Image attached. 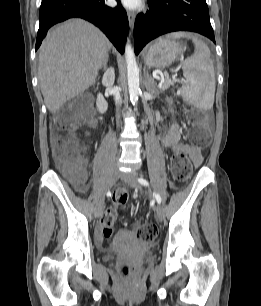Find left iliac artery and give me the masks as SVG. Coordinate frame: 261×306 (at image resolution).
Listing matches in <instances>:
<instances>
[{"instance_id":"obj_1","label":"left iliac artery","mask_w":261,"mask_h":306,"mask_svg":"<svg viewBox=\"0 0 261 306\" xmlns=\"http://www.w3.org/2000/svg\"><path fill=\"white\" fill-rule=\"evenodd\" d=\"M138 182L140 184L144 185V186H149V182L142 177L138 178ZM154 195H155V198H156L158 204H161V201H162L161 196L159 194H156V193Z\"/></svg>"}]
</instances>
